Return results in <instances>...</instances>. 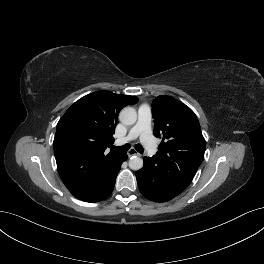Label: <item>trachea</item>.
Returning a JSON list of instances; mask_svg holds the SVG:
<instances>
[{"mask_svg": "<svg viewBox=\"0 0 264 264\" xmlns=\"http://www.w3.org/2000/svg\"><path fill=\"white\" fill-rule=\"evenodd\" d=\"M112 149L115 151L126 152L130 149V145L125 144L123 146H113ZM135 149L141 154L144 152V148L140 144H136Z\"/></svg>", "mask_w": 264, "mask_h": 264, "instance_id": "3493384b", "label": "trachea"}]
</instances>
